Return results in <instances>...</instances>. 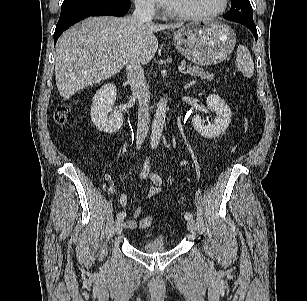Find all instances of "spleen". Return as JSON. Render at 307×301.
I'll use <instances>...</instances> for the list:
<instances>
[{"label": "spleen", "mask_w": 307, "mask_h": 301, "mask_svg": "<svg viewBox=\"0 0 307 301\" xmlns=\"http://www.w3.org/2000/svg\"><path fill=\"white\" fill-rule=\"evenodd\" d=\"M236 66L247 78L253 76L254 62L249 50L244 45H239L237 48Z\"/></svg>", "instance_id": "obj_1"}]
</instances>
